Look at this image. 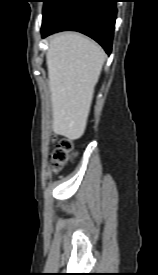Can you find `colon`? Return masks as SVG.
Segmentation results:
<instances>
[{
	"label": "colon",
	"mask_w": 158,
	"mask_h": 275,
	"mask_svg": "<svg viewBox=\"0 0 158 275\" xmlns=\"http://www.w3.org/2000/svg\"><path fill=\"white\" fill-rule=\"evenodd\" d=\"M73 151L74 146L70 139L65 138L58 141L53 152V168L55 171L60 170L69 162L73 155Z\"/></svg>",
	"instance_id": "5ec220e1"
}]
</instances>
